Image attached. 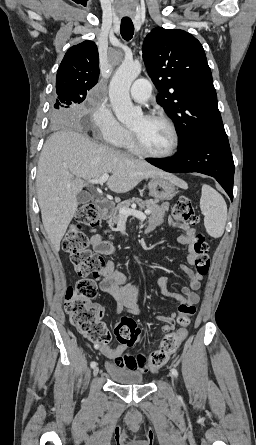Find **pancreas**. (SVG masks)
Masks as SVG:
<instances>
[{"instance_id":"cf45deb5","label":"pancreas","mask_w":256,"mask_h":445,"mask_svg":"<svg viewBox=\"0 0 256 445\" xmlns=\"http://www.w3.org/2000/svg\"><path fill=\"white\" fill-rule=\"evenodd\" d=\"M132 203H136L138 204V206L141 209H146L149 211V214H157L160 213L161 209L160 207L157 205L158 201L157 200H141L139 198H132V199H128L125 200L121 203H119L116 207H113L109 213V215L107 216L108 219V224L110 227H113L114 224H116L119 219H120V213L119 210L120 208H129V206ZM112 238V237H110Z\"/></svg>"}]
</instances>
